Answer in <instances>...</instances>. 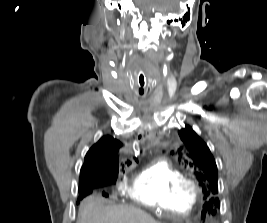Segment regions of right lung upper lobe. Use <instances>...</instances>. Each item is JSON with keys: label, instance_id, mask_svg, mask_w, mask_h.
Here are the masks:
<instances>
[{"label": "right lung upper lobe", "instance_id": "obj_1", "mask_svg": "<svg viewBox=\"0 0 267 223\" xmlns=\"http://www.w3.org/2000/svg\"><path fill=\"white\" fill-rule=\"evenodd\" d=\"M120 147L121 143L118 140L110 136L102 137L87 152L81 168L80 179L101 178L108 170L119 168L117 152Z\"/></svg>", "mask_w": 267, "mask_h": 223}]
</instances>
